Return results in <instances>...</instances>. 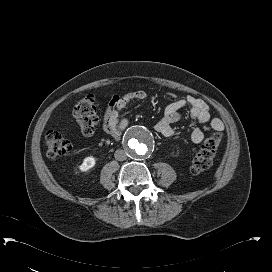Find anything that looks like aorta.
Returning a JSON list of instances; mask_svg holds the SVG:
<instances>
[{"mask_svg":"<svg viewBox=\"0 0 272 272\" xmlns=\"http://www.w3.org/2000/svg\"><path fill=\"white\" fill-rule=\"evenodd\" d=\"M125 147L132 158H145L154 147L153 135L143 126H133L126 133Z\"/></svg>","mask_w":272,"mask_h":272,"instance_id":"1","label":"aorta"}]
</instances>
